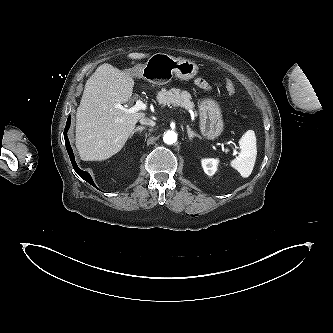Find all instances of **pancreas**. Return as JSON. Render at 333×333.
<instances>
[{
  "label": "pancreas",
  "mask_w": 333,
  "mask_h": 333,
  "mask_svg": "<svg viewBox=\"0 0 333 333\" xmlns=\"http://www.w3.org/2000/svg\"><path fill=\"white\" fill-rule=\"evenodd\" d=\"M158 102L161 106H180L186 110H193L194 103L191 101V95L187 91L173 88L169 91L162 89L157 95Z\"/></svg>",
  "instance_id": "obj_1"
}]
</instances>
